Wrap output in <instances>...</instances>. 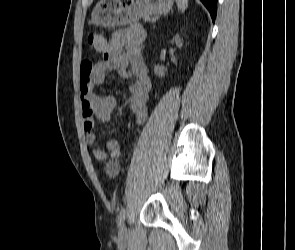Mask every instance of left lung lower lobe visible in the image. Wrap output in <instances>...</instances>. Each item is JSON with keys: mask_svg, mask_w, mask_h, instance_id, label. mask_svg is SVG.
<instances>
[{"mask_svg": "<svg viewBox=\"0 0 295 250\" xmlns=\"http://www.w3.org/2000/svg\"><path fill=\"white\" fill-rule=\"evenodd\" d=\"M205 7L209 10L212 20H215L217 13V0H201Z\"/></svg>", "mask_w": 295, "mask_h": 250, "instance_id": "1", "label": "left lung lower lobe"}]
</instances>
